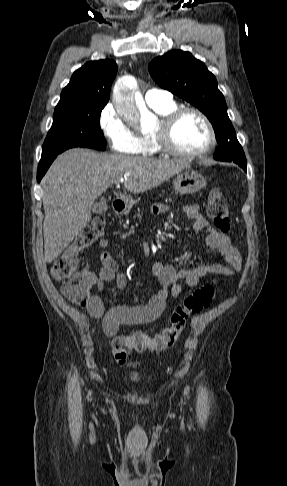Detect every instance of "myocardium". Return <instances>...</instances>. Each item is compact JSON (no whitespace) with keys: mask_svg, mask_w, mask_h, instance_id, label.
Listing matches in <instances>:
<instances>
[{"mask_svg":"<svg viewBox=\"0 0 287 486\" xmlns=\"http://www.w3.org/2000/svg\"><path fill=\"white\" fill-rule=\"evenodd\" d=\"M187 113H193L197 115L204 123L208 132L207 145L204 148L197 151H191V152L182 151L177 149L172 143L171 135L174 126L177 123V121ZM153 138L157 146L159 147L160 151L169 154L171 156L181 157V158H197L200 156H204L210 153L214 149L217 143L216 133L210 119L203 111L193 106L178 107L173 111L169 112L167 115L163 116L162 119L160 120V123L156 131L153 134Z\"/></svg>","mask_w":287,"mask_h":486,"instance_id":"1","label":"myocardium"}]
</instances>
